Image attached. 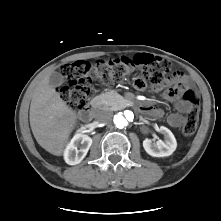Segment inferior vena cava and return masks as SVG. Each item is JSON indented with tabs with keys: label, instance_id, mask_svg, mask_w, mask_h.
<instances>
[{
	"label": "inferior vena cava",
	"instance_id": "602c4592",
	"mask_svg": "<svg viewBox=\"0 0 221 221\" xmlns=\"http://www.w3.org/2000/svg\"><path fill=\"white\" fill-rule=\"evenodd\" d=\"M112 118V112L108 110H100L96 114V119L101 123H107Z\"/></svg>",
	"mask_w": 221,
	"mask_h": 221
}]
</instances>
